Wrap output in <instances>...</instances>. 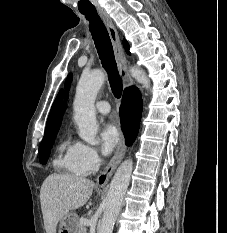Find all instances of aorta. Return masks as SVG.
<instances>
[{
	"mask_svg": "<svg viewBox=\"0 0 227 233\" xmlns=\"http://www.w3.org/2000/svg\"><path fill=\"white\" fill-rule=\"evenodd\" d=\"M134 77L145 88L150 87V82L145 72L139 68L130 69ZM105 81V74L101 70H94L83 74L76 88L74 99V120L79 128V136L85 142L96 145L98 124L96 121L95 99L98 91ZM133 170L131 159L124 161L113 176L109 191L105 200L99 233H112L113 226L121 209L124 195L127 191Z\"/></svg>",
	"mask_w": 227,
	"mask_h": 233,
	"instance_id": "aorta-1",
	"label": "aorta"
}]
</instances>
